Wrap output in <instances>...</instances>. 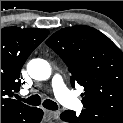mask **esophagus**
Returning a JSON list of instances; mask_svg holds the SVG:
<instances>
[{
	"label": "esophagus",
	"instance_id": "1",
	"mask_svg": "<svg viewBox=\"0 0 123 123\" xmlns=\"http://www.w3.org/2000/svg\"><path fill=\"white\" fill-rule=\"evenodd\" d=\"M47 117L53 118L58 120L60 118V112L59 111H49L45 110L44 111Z\"/></svg>",
	"mask_w": 123,
	"mask_h": 123
}]
</instances>
